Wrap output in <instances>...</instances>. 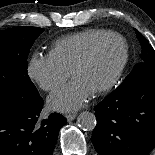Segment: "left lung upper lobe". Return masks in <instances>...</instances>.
<instances>
[{
  "label": "left lung upper lobe",
  "mask_w": 155,
  "mask_h": 155,
  "mask_svg": "<svg viewBox=\"0 0 155 155\" xmlns=\"http://www.w3.org/2000/svg\"><path fill=\"white\" fill-rule=\"evenodd\" d=\"M135 33L137 39L141 43L142 51H141V62L136 64L131 71V73L126 77L122 84H128L140 79L143 76L151 72H155V51L153 47L149 44L148 40H146L140 32L136 29Z\"/></svg>",
  "instance_id": "left-lung-upper-lobe-1"
}]
</instances>
